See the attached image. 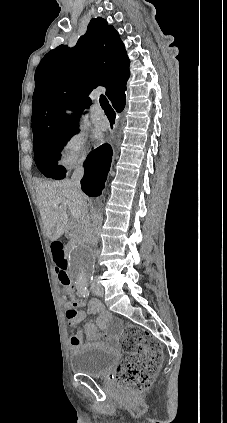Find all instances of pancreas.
Returning a JSON list of instances; mask_svg holds the SVG:
<instances>
[{
    "mask_svg": "<svg viewBox=\"0 0 227 423\" xmlns=\"http://www.w3.org/2000/svg\"><path fill=\"white\" fill-rule=\"evenodd\" d=\"M73 233H78V235H83L84 233V225H82V223H80V221H76L75 225H74V231Z\"/></svg>",
    "mask_w": 227,
    "mask_h": 423,
    "instance_id": "cf45deb5",
    "label": "pancreas"
}]
</instances>
